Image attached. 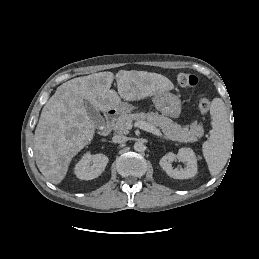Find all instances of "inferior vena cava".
<instances>
[{
	"instance_id": "1",
	"label": "inferior vena cava",
	"mask_w": 259,
	"mask_h": 259,
	"mask_svg": "<svg viewBox=\"0 0 259 259\" xmlns=\"http://www.w3.org/2000/svg\"><path fill=\"white\" fill-rule=\"evenodd\" d=\"M127 140H128V138L123 135H115L112 137L113 143H125Z\"/></svg>"
}]
</instances>
